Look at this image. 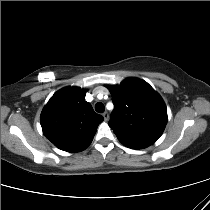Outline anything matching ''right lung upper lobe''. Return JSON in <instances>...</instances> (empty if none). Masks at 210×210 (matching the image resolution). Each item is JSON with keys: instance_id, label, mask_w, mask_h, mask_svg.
Wrapping results in <instances>:
<instances>
[{"instance_id": "1", "label": "right lung upper lobe", "mask_w": 210, "mask_h": 210, "mask_svg": "<svg viewBox=\"0 0 210 210\" xmlns=\"http://www.w3.org/2000/svg\"><path fill=\"white\" fill-rule=\"evenodd\" d=\"M86 91L66 87L56 92L41 113L44 135L59 149L80 152L91 143L103 117L85 101Z\"/></svg>"}]
</instances>
